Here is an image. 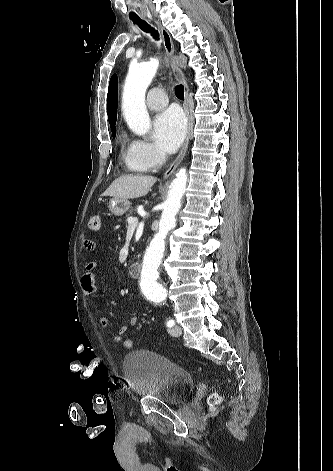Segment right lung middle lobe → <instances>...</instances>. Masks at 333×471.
Masks as SVG:
<instances>
[{"label": "right lung middle lobe", "mask_w": 333, "mask_h": 471, "mask_svg": "<svg viewBox=\"0 0 333 471\" xmlns=\"http://www.w3.org/2000/svg\"><path fill=\"white\" fill-rule=\"evenodd\" d=\"M113 138H115L116 130L112 132Z\"/></svg>", "instance_id": "obj_1"}]
</instances>
